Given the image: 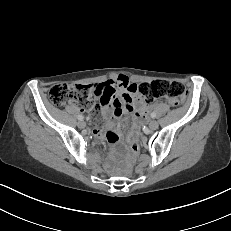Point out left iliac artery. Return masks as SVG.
<instances>
[{"label": "left iliac artery", "mask_w": 231, "mask_h": 231, "mask_svg": "<svg viewBox=\"0 0 231 231\" xmlns=\"http://www.w3.org/2000/svg\"><path fill=\"white\" fill-rule=\"evenodd\" d=\"M151 117L152 118H155L156 117V114L154 112L151 113Z\"/></svg>", "instance_id": "left-iliac-artery-1"}]
</instances>
